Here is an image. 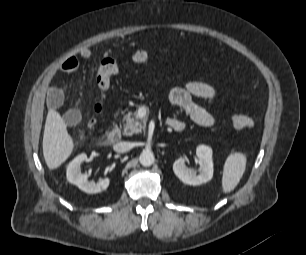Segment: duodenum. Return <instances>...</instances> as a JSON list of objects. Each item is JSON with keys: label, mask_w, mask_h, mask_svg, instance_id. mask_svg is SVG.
I'll return each mask as SVG.
<instances>
[{"label": "duodenum", "mask_w": 306, "mask_h": 255, "mask_svg": "<svg viewBox=\"0 0 306 255\" xmlns=\"http://www.w3.org/2000/svg\"><path fill=\"white\" fill-rule=\"evenodd\" d=\"M166 125L169 126V123L166 122ZM121 132L118 128L111 129L106 136V143L113 144L120 140Z\"/></svg>", "instance_id": "410a0bca"}]
</instances>
